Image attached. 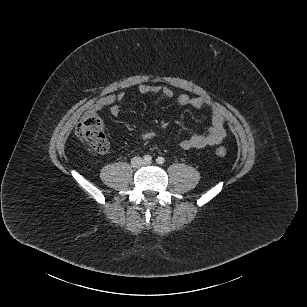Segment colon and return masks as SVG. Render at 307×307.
Here are the masks:
<instances>
[{"instance_id": "1", "label": "colon", "mask_w": 307, "mask_h": 307, "mask_svg": "<svg viewBox=\"0 0 307 307\" xmlns=\"http://www.w3.org/2000/svg\"><path fill=\"white\" fill-rule=\"evenodd\" d=\"M76 133L82 143L90 146L96 152H107L109 144L104 133V124L94 107L84 114ZM216 154L223 158L226 155V149L220 146L216 149Z\"/></svg>"}]
</instances>
